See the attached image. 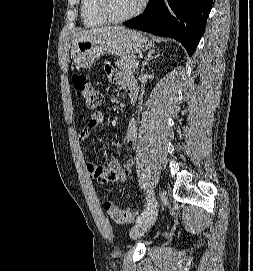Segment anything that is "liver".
Masks as SVG:
<instances>
[{
  "mask_svg": "<svg viewBox=\"0 0 253 271\" xmlns=\"http://www.w3.org/2000/svg\"><path fill=\"white\" fill-rule=\"evenodd\" d=\"M120 29H124V28L123 27H102V28H95V29H91V30H83V31H80V32L74 34V39H75L74 43L77 40L85 38L88 35L93 34V33H99V32H105V31H113V30H120Z\"/></svg>",
  "mask_w": 253,
  "mask_h": 271,
  "instance_id": "liver-1",
  "label": "liver"
}]
</instances>
